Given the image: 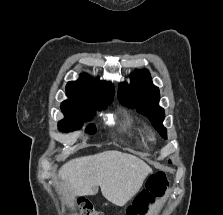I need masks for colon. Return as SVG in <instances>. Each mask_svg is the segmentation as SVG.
<instances>
[{"instance_id": "1", "label": "colon", "mask_w": 223, "mask_h": 215, "mask_svg": "<svg viewBox=\"0 0 223 215\" xmlns=\"http://www.w3.org/2000/svg\"><path fill=\"white\" fill-rule=\"evenodd\" d=\"M168 186V180L164 172H157L152 175L146 188L135 198L132 206L128 208L129 215H142L146 212L148 205L163 194ZM78 212L75 215H104L103 212L95 210L87 202L78 203Z\"/></svg>"}]
</instances>
